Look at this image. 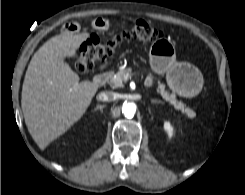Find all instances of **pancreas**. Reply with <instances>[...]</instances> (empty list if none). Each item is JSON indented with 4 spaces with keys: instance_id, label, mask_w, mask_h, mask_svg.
Segmentation results:
<instances>
[{
    "instance_id": "1",
    "label": "pancreas",
    "mask_w": 245,
    "mask_h": 195,
    "mask_svg": "<svg viewBox=\"0 0 245 195\" xmlns=\"http://www.w3.org/2000/svg\"><path fill=\"white\" fill-rule=\"evenodd\" d=\"M132 72V69H120L118 72L108 73V83L112 88H118L123 87V82L125 81V77ZM157 92L165 99L167 102H169L170 105H173L176 110L181 111L183 114H185L188 118H194L195 112L188 108L184 103L178 101L176 99L175 94H171L168 90H166L165 85L162 84L160 81H158L157 85Z\"/></svg>"
}]
</instances>
